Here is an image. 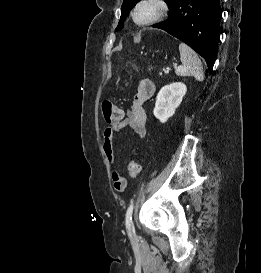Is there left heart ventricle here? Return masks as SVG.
<instances>
[{"label":"left heart ventricle","mask_w":261,"mask_h":273,"mask_svg":"<svg viewBox=\"0 0 261 273\" xmlns=\"http://www.w3.org/2000/svg\"><path fill=\"white\" fill-rule=\"evenodd\" d=\"M147 13H148L147 11H143L140 16L145 17L147 15Z\"/></svg>","instance_id":"obj_1"}]
</instances>
